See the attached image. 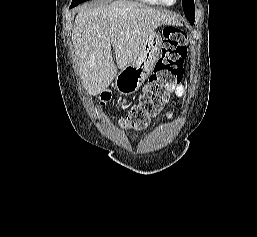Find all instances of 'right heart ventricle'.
I'll return each mask as SVG.
<instances>
[{"instance_id":"e07e8e85","label":"right heart ventricle","mask_w":257,"mask_h":237,"mask_svg":"<svg viewBox=\"0 0 257 237\" xmlns=\"http://www.w3.org/2000/svg\"><path fill=\"white\" fill-rule=\"evenodd\" d=\"M138 1L147 5H163L160 0H138Z\"/></svg>"}]
</instances>
